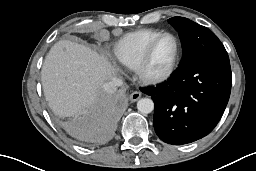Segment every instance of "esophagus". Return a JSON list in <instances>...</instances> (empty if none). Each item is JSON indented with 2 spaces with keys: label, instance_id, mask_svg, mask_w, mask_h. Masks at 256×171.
<instances>
[{
  "label": "esophagus",
  "instance_id": "34e87169",
  "mask_svg": "<svg viewBox=\"0 0 256 171\" xmlns=\"http://www.w3.org/2000/svg\"><path fill=\"white\" fill-rule=\"evenodd\" d=\"M141 97V92L140 91H134L130 94L129 99L131 102H136L139 100Z\"/></svg>",
  "mask_w": 256,
  "mask_h": 171
}]
</instances>
